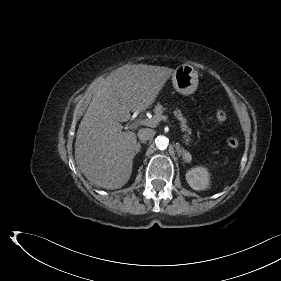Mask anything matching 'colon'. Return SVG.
I'll return each mask as SVG.
<instances>
[{
	"instance_id": "colon-1",
	"label": "colon",
	"mask_w": 281,
	"mask_h": 281,
	"mask_svg": "<svg viewBox=\"0 0 281 281\" xmlns=\"http://www.w3.org/2000/svg\"><path fill=\"white\" fill-rule=\"evenodd\" d=\"M226 117V112L221 108L214 110L210 116L211 120L216 123H223L226 120ZM227 144L229 147L235 149L239 147L240 141L237 137L233 136L228 138Z\"/></svg>"
}]
</instances>
